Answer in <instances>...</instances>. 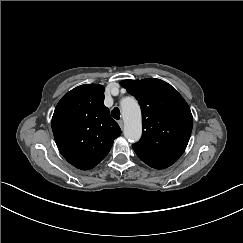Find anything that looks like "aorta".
<instances>
[{
	"instance_id": "762f6f07",
	"label": "aorta",
	"mask_w": 243,
	"mask_h": 243,
	"mask_svg": "<svg viewBox=\"0 0 243 243\" xmlns=\"http://www.w3.org/2000/svg\"><path fill=\"white\" fill-rule=\"evenodd\" d=\"M121 115L124 122V137L131 143L137 142L142 135V117L138 101L133 96L120 100Z\"/></svg>"
}]
</instances>
